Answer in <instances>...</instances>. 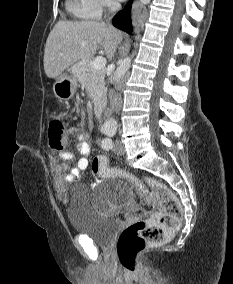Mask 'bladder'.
Masks as SVG:
<instances>
[{"instance_id": "obj_1", "label": "bladder", "mask_w": 233, "mask_h": 284, "mask_svg": "<svg viewBox=\"0 0 233 284\" xmlns=\"http://www.w3.org/2000/svg\"><path fill=\"white\" fill-rule=\"evenodd\" d=\"M132 197V190L121 180L108 182L102 189L101 196L95 198L90 190L82 185H75L70 192L67 216L74 231L87 235L94 242L108 246L121 226V221L106 215L99 209L101 205H123Z\"/></svg>"}]
</instances>
